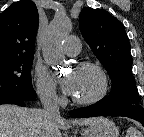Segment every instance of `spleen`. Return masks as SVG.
<instances>
[{
    "instance_id": "3e777b00",
    "label": "spleen",
    "mask_w": 144,
    "mask_h": 137,
    "mask_svg": "<svg viewBox=\"0 0 144 137\" xmlns=\"http://www.w3.org/2000/svg\"><path fill=\"white\" fill-rule=\"evenodd\" d=\"M126 137H142V134H141V132L138 131L136 128L130 127V128L127 130Z\"/></svg>"
}]
</instances>
